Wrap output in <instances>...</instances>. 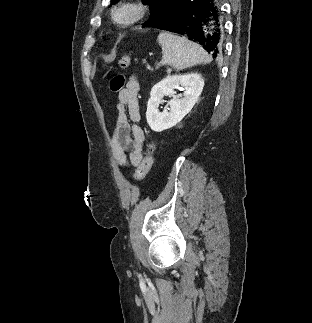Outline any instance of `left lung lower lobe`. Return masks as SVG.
Instances as JSON below:
<instances>
[{
  "instance_id": "0a47b994",
  "label": "left lung lower lobe",
  "mask_w": 312,
  "mask_h": 323,
  "mask_svg": "<svg viewBox=\"0 0 312 323\" xmlns=\"http://www.w3.org/2000/svg\"><path fill=\"white\" fill-rule=\"evenodd\" d=\"M220 0H176L157 27L202 45L213 57L223 53V22Z\"/></svg>"
}]
</instances>
